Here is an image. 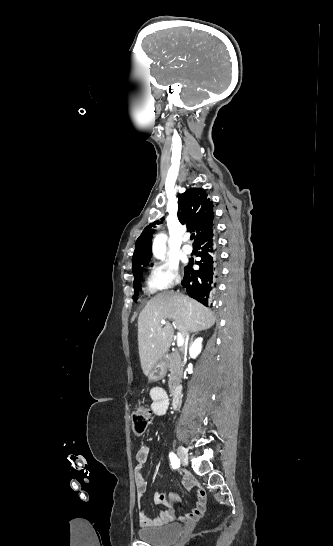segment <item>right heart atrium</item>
Returning a JSON list of instances; mask_svg holds the SVG:
<instances>
[{"mask_svg": "<svg viewBox=\"0 0 333 546\" xmlns=\"http://www.w3.org/2000/svg\"><path fill=\"white\" fill-rule=\"evenodd\" d=\"M181 282L179 267L171 261H162L155 264L147 277L146 289L149 293H156L172 289Z\"/></svg>", "mask_w": 333, "mask_h": 546, "instance_id": "obj_1", "label": "right heart atrium"}]
</instances>
